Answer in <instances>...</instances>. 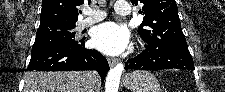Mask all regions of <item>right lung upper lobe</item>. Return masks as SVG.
<instances>
[{
  "instance_id": "right-lung-upper-lobe-1",
  "label": "right lung upper lobe",
  "mask_w": 225,
  "mask_h": 92,
  "mask_svg": "<svg viewBox=\"0 0 225 92\" xmlns=\"http://www.w3.org/2000/svg\"><path fill=\"white\" fill-rule=\"evenodd\" d=\"M90 3L91 0H88ZM84 0H42L40 25L49 23H76L79 13L78 7Z\"/></svg>"
}]
</instances>
